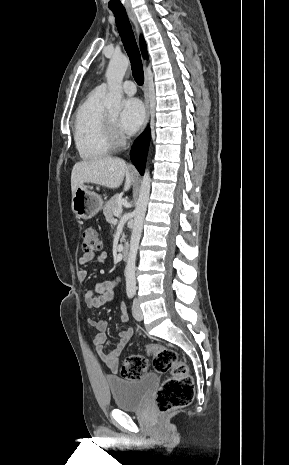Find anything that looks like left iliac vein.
I'll list each match as a JSON object with an SVG mask.
<instances>
[{
    "label": "left iliac vein",
    "instance_id": "4c4485c4",
    "mask_svg": "<svg viewBox=\"0 0 289 465\" xmlns=\"http://www.w3.org/2000/svg\"><path fill=\"white\" fill-rule=\"evenodd\" d=\"M132 314H133V317L137 321H141L143 319V313H142V310H141V308L139 306V302H138L137 299H135L134 302H133Z\"/></svg>",
    "mask_w": 289,
    "mask_h": 465
}]
</instances>
